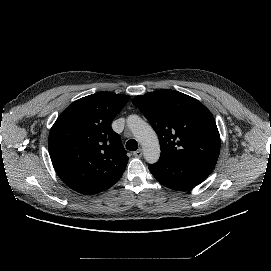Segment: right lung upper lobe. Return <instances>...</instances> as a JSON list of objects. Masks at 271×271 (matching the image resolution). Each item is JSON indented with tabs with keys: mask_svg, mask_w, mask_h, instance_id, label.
<instances>
[{
	"mask_svg": "<svg viewBox=\"0 0 271 271\" xmlns=\"http://www.w3.org/2000/svg\"><path fill=\"white\" fill-rule=\"evenodd\" d=\"M129 99L98 92L70 104L53 124L49 154L59 177L74 191L97 194L121 178L129 157L111 122Z\"/></svg>",
	"mask_w": 271,
	"mask_h": 271,
	"instance_id": "obj_1",
	"label": "right lung upper lobe"
}]
</instances>
